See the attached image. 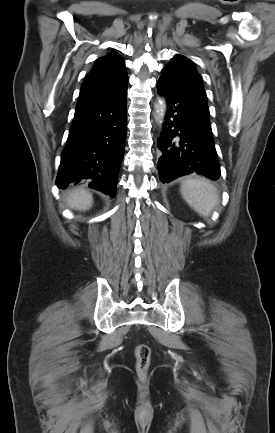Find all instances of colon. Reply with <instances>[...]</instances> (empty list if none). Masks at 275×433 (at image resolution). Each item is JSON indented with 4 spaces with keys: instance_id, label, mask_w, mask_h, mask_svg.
<instances>
[{
    "instance_id": "colon-1",
    "label": "colon",
    "mask_w": 275,
    "mask_h": 433,
    "mask_svg": "<svg viewBox=\"0 0 275 433\" xmlns=\"http://www.w3.org/2000/svg\"><path fill=\"white\" fill-rule=\"evenodd\" d=\"M134 355L136 359V373L138 377L144 378L147 376L150 367V348L146 344H138L134 348Z\"/></svg>"
}]
</instances>
